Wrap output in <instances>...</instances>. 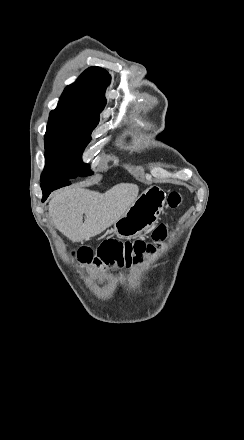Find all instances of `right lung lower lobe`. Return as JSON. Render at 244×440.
<instances>
[{
	"instance_id": "right-lung-lower-lobe-1",
	"label": "right lung lower lobe",
	"mask_w": 244,
	"mask_h": 440,
	"mask_svg": "<svg viewBox=\"0 0 244 440\" xmlns=\"http://www.w3.org/2000/svg\"><path fill=\"white\" fill-rule=\"evenodd\" d=\"M70 184L71 182L68 179L46 180L44 182H41V188L43 192L42 202L47 199L52 191Z\"/></svg>"
}]
</instances>
